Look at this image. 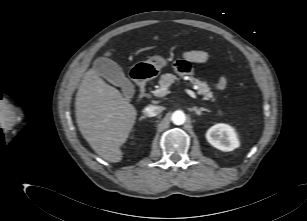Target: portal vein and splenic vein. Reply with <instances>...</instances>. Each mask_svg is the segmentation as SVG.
<instances>
[{
    "label": "portal vein and splenic vein",
    "mask_w": 307,
    "mask_h": 221,
    "mask_svg": "<svg viewBox=\"0 0 307 221\" xmlns=\"http://www.w3.org/2000/svg\"><path fill=\"white\" fill-rule=\"evenodd\" d=\"M185 91L192 98L197 99L196 94L192 90L185 89ZM152 93L156 97H163V96L167 95L169 93V91L167 90V88H160V89H156V90L152 91Z\"/></svg>",
    "instance_id": "obj_1"
}]
</instances>
